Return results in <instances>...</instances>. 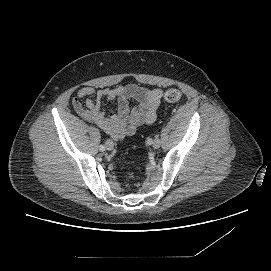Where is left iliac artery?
<instances>
[{"mask_svg": "<svg viewBox=\"0 0 271 271\" xmlns=\"http://www.w3.org/2000/svg\"><path fill=\"white\" fill-rule=\"evenodd\" d=\"M146 144L149 146V145H152L153 144V140L151 138H148L147 141H146Z\"/></svg>", "mask_w": 271, "mask_h": 271, "instance_id": "left-iliac-artery-1", "label": "left iliac artery"}]
</instances>
